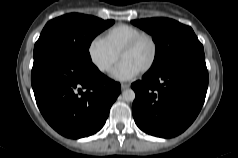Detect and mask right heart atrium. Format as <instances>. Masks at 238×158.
Here are the masks:
<instances>
[{
    "label": "right heart atrium",
    "mask_w": 238,
    "mask_h": 158,
    "mask_svg": "<svg viewBox=\"0 0 238 158\" xmlns=\"http://www.w3.org/2000/svg\"><path fill=\"white\" fill-rule=\"evenodd\" d=\"M88 55L94 66L103 73L109 72L119 59V54L102 37L91 40Z\"/></svg>",
    "instance_id": "obj_1"
}]
</instances>
